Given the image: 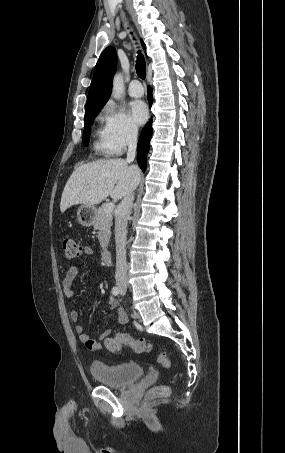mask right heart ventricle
Here are the masks:
<instances>
[{
  "mask_svg": "<svg viewBox=\"0 0 285 453\" xmlns=\"http://www.w3.org/2000/svg\"><path fill=\"white\" fill-rule=\"evenodd\" d=\"M94 148L100 153L109 154L105 141L104 129L99 128L96 130V140L94 142Z\"/></svg>",
  "mask_w": 285,
  "mask_h": 453,
  "instance_id": "e07e8e85",
  "label": "right heart ventricle"
}]
</instances>
